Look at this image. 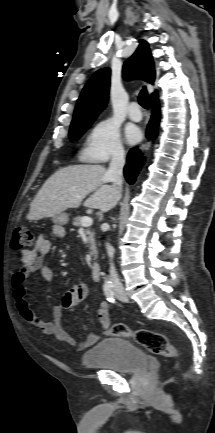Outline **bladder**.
<instances>
[{
  "instance_id": "31cf9c89",
  "label": "bladder",
  "mask_w": 215,
  "mask_h": 433,
  "mask_svg": "<svg viewBox=\"0 0 215 433\" xmlns=\"http://www.w3.org/2000/svg\"><path fill=\"white\" fill-rule=\"evenodd\" d=\"M141 348L119 337L105 338L83 356L87 368L103 367L121 374H133L147 366Z\"/></svg>"
}]
</instances>
